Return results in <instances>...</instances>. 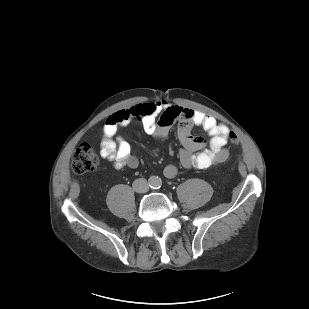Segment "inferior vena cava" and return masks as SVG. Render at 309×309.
Wrapping results in <instances>:
<instances>
[{
    "instance_id": "602c4592",
    "label": "inferior vena cava",
    "mask_w": 309,
    "mask_h": 309,
    "mask_svg": "<svg viewBox=\"0 0 309 309\" xmlns=\"http://www.w3.org/2000/svg\"><path fill=\"white\" fill-rule=\"evenodd\" d=\"M132 186L133 189L138 193H145L149 190L148 182L144 178L136 179Z\"/></svg>"
}]
</instances>
